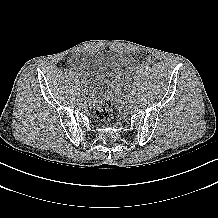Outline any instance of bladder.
<instances>
[{
	"label": "bladder",
	"mask_w": 218,
	"mask_h": 218,
	"mask_svg": "<svg viewBox=\"0 0 218 218\" xmlns=\"http://www.w3.org/2000/svg\"><path fill=\"white\" fill-rule=\"evenodd\" d=\"M92 101L108 100L121 80L120 58L112 52L83 53L77 56Z\"/></svg>",
	"instance_id": "1"
}]
</instances>
